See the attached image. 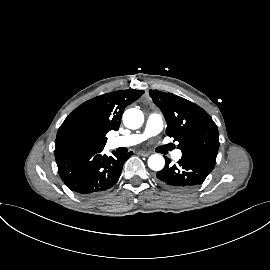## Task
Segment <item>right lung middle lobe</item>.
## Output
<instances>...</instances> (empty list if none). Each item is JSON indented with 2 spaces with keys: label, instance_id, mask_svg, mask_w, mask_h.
<instances>
[{
  "label": "right lung middle lobe",
  "instance_id": "1",
  "mask_svg": "<svg viewBox=\"0 0 270 270\" xmlns=\"http://www.w3.org/2000/svg\"><path fill=\"white\" fill-rule=\"evenodd\" d=\"M62 145L67 149H78L82 147H97L93 136L82 129L66 133L62 137Z\"/></svg>",
  "mask_w": 270,
  "mask_h": 270
}]
</instances>
